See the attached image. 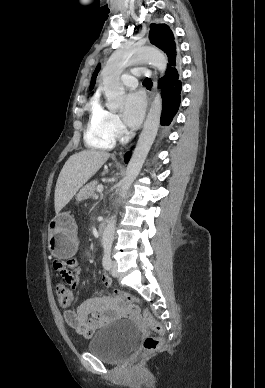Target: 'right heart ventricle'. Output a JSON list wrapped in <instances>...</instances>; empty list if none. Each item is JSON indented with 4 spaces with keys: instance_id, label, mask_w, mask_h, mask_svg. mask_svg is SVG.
Returning a JSON list of instances; mask_svg holds the SVG:
<instances>
[{
    "instance_id": "right-heart-ventricle-1",
    "label": "right heart ventricle",
    "mask_w": 265,
    "mask_h": 388,
    "mask_svg": "<svg viewBox=\"0 0 265 388\" xmlns=\"http://www.w3.org/2000/svg\"><path fill=\"white\" fill-rule=\"evenodd\" d=\"M106 110L100 99L95 96L90 104V119L85 133V140L91 146L100 149H111L115 145V137L105 127Z\"/></svg>"
}]
</instances>
